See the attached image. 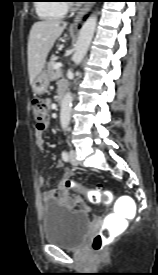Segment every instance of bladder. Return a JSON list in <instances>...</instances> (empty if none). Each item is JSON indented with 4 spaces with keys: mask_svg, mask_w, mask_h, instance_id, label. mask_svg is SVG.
Wrapping results in <instances>:
<instances>
[{
    "mask_svg": "<svg viewBox=\"0 0 158 275\" xmlns=\"http://www.w3.org/2000/svg\"><path fill=\"white\" fill-rule=\"evenodd\" d=\"M43 235L47 243L77 249L89 232L90 216L82 211L50 202L42 209Z\"/></svg>",
    "mask_w": 158,
    "mask_h": 275,
    "instance_id": "1",
    "label": "bladder"
}]
</instances>
